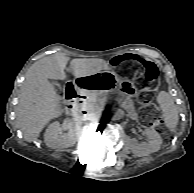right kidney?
Returning <instances> with one entry per match:
<instances>
[{"label": "right kidney", "instance_id": "ca27d5eb", "mask_svg": "<svg viewBox=\"0 0 194 193\" xmlns=\"http://www.w3.org/2000/svg\"><path fill=\"white\" fill-rule=\"evenodd\" d=\"M67 130L66 134H62ZM77 139V129L74 123L65 122L62 125L59 122H53L48 126L44 134L46 145L52 149L68 148L75 144Z\"/></svg>", "mask_w": 194, "mask_h": 193}]
</instances>
